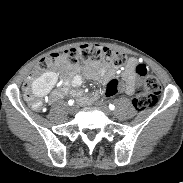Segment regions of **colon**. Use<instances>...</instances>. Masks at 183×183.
I'll return each instance as SVG.
<instances>
[{
    "instance_id": "5ec220e1",
    "label": "colon",
    "mask_w": 183,
    "mask_h": 183,
    "mask_svg": "<svg viewBox=\"0 0 183 183\" xmlns=\"http://www.w3.org/2000/svg\"><path fill=\"white\" fill-rule=\"evenodd\" d=\"M79 61L88 63H103L109 66L121 67L128 62L124 53L114 51L109 48L101 47L96 44H85L78 48L67 49L62 52L52 53L39 60L33 73L37 74L49 70L56 65L74 66ZM136 73L143 78L142 85L138 88L133 99V105L138 110H144L152 107L160 94L161 85L158 79L148 72L144 64H137ZM25 96L31 102L32 106L37 108L41 101L31 97L27 84L25 85ZM120 91V82L117 79L111 80L105 90L107 97H112Z\"/></svg>"
}]
</instances>
